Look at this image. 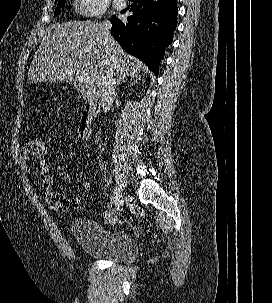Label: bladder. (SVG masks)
<instances>
[{
    "label": "bladder",
    "instance_id": "bladder-1",
    "mask_svg": "<svg viewBox=\"0 0 272 303\" xmlns=\"http://www.w3.org/2000/svg\"><path fill=\"white\" fill-rule=\"evenodd\" d=\"M71 231L80 250L89 258L128 262L138 254V245L132 237L108 229L92 218H75Z\"/></svg>",
    "mask_w": 272,
    "mask_h": 303
}]
</instances>
